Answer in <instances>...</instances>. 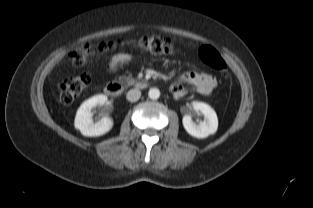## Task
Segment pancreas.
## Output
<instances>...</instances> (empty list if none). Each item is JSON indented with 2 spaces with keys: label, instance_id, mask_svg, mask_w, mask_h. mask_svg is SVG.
Masks as SVG:
<instances>
[{
  "label": "pancreas",
  "instance_id": "pancreas-1",
  "mask_svg": "<svg viewBox=\"0 0 313 208\" xmlns=\"http://www.w3.org/2000/svg\"><path fill=\"white\" fill-rule=\"evenodd\" d=\"M121 81H125L128 85H132L135 83V79H133L131 76H121L120 77Z\"/></svg>",
  "mask_w": 313,
  "mask_h": 208
}]
</instances>
